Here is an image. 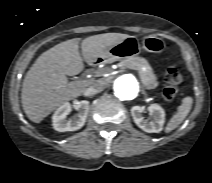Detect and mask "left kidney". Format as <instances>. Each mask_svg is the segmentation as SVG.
Instances as JSON below:
<instances>
[{
    "mask_svg": "<svg viewBox=\"0 0 212 183\" xmlns=\"http://www.w3.org/2000/svg\"><path fill=\"white\" fill-rule=\"evenodd\" d=\"M145 110L142 106H133L131 108V115L135 124L147 133H159L163 129L165 122L164 109L158 104H151L147 107L151 115V120H145L142 116V112Z\"/></svg>",
    "mask_w": 212,
    "mask_h": 183,
    "instance_id": "left-kidney-1",
    "label": "left kidney"
}]
</instances>
